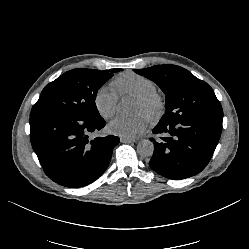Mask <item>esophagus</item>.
Here are the masks:
<instances>
[{"label":"esophagus","instance_id":"1","mask_svg":"<svg viewBox=\"0 0 249 249\" xmlns=\"http://www.w3.org/2000/svg\"><path fill=\"white\" fill-rule=\"evenodd\" d=\"M120 140H121L122 143H132V142H134V139L127 138V137H121Z\"/></svg>","mask_w":249,"mask_h":249}]
</instances>
